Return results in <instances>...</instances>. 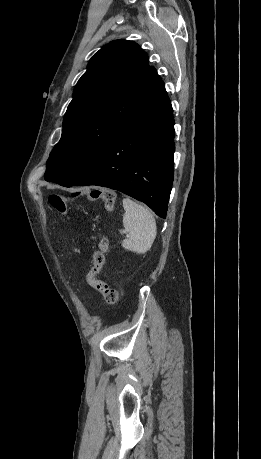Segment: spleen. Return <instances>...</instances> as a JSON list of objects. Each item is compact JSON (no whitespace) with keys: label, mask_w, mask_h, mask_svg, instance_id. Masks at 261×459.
I'll return each mask as SVG.
<instances>
[{"label":"spleen","mask_w":261,"mask_h":459,"mask_svg":"<svg viewBox=\"0 0 261 459\" xmlns=\"http://www.w3.org/2000/svg\"><path fill=\"white\" fill-rule=\"evenodd\" d=\"M122 202L125 210L124 230H120V233H127V238L122 241V247L137 254H144L156 238V220L148 208L130 198H124Z\"/></svg>","instance_id":"3e777b00"}]
</instances>
